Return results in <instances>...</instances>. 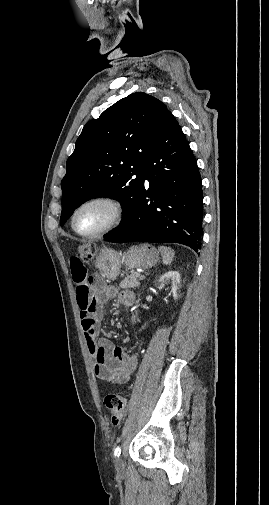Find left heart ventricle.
Returning <instances> with one entry per match:
<instances>
[{"instance_id":"b2bd125f","label":"left heart ventricle","mask_w":269,"mask_h":505,"mask_svg":"<svg viewBox=\"0 0 269 505\" xmlns=\"http://www.w3.org/2000/svg\"><path fill=\"white\" fill-rule=\"evenodd\" d=\"M113 214L114 211L108 204H89L78 212L75 226L82 233H93L106 226L113 218Z\"/></svg>"}]
</instances>
